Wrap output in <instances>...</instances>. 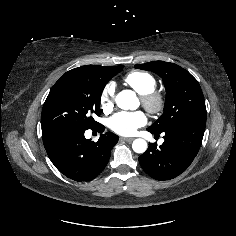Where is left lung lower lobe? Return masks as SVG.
Wrapping results in <instances>:
<instances>
[{
    "instance_id": "0a47b994",
    "label": "left lung lower lobe",
    "mask_w": 236,
    "mask_h": 236,
    "mask_svg": "<svg viewBox=\"0 0 236 236\" xmlns=\"http://www.w3.org/2000/svg\"><path fill=\"white\" fill-rule=\"evenodd\" d=\"M205 126L206 119H194L164 130L163 144L157 147L156 143H150L147 151L139 157L140 165L156 180L177 177L189 167L197 155Z\"/></svg>"
}]
</instances>
